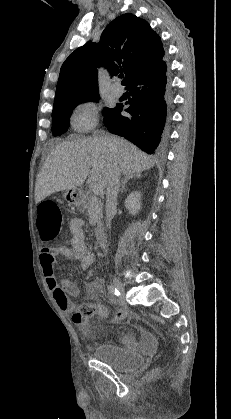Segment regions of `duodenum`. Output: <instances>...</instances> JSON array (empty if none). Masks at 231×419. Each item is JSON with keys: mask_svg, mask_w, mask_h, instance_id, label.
I'll return each mask as SVG.
<instances>
[{"mask_svg": "<svg viewBox=\"0 0 231 419\" xmlns=\"http://www.w3.org/2000/svg\"><path fill=\"white\" fill-rule=\"evenodd\" d=\"M77 200L81 201L82 196H77ZM95 232H96V236H97L99 242L103 243L104 242V231H103L102 225H97L96 229H95Z\"/></svg>", "mask_w": 231, "mask_h": 419, "instance_id": "410a0bca", "label": "duodenum"}]
</instances>
